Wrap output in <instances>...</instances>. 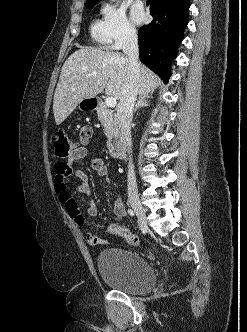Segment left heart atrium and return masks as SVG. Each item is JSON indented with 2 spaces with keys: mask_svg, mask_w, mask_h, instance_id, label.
I'll return each instance as SVG.
<instances>
[{
  "mask_svg": "<svg viewBox=\"0 0 247 332\" xmlns=\"http://www.w3.org/2000/svg\"><path fill=\"white\" fill-rule=\"evenodd\" d=\"M145 12L141 5L136 4L131 9V17L134 22L142 23L145 20Z\"/></svg>",
  "mask_w": 247,
  "mask_h": 332,
  "instance_id": "39dd6f15",
  "label": "left heart atrium"
}]
</instances>
